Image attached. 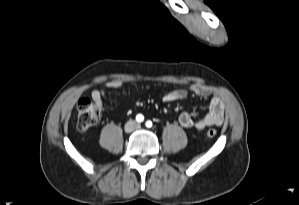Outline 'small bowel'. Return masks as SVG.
<instances>
[{
  "mask_svg": "<svg viewBox=\"0 0 299 205\" xmlns=\"http://www.w3.org/2000/svg\"><path fill=\"white\" fill-rule=\"evenodd\" d=\"M122 86L120 80H111L104 84L105 89H119ZM190 90L197 96L209 98V107L206 114L195 119L190 113L183 112L179 116V123L185 128L195 127L198 130H203L206 127L213 125H221L224 120V105L220 98L210 93L208 88L200 83L191 85ZM92 100L101 109H105V91L103 89H95L91 93ZM187 97V90L175 89L169 91L163 96L165 102H174L183 100Z\"/></svg>",
  "mask_w": 299,
  "mask_h": 205,
  "instance_id": "small-bowel-1",
  "label": "small bowel"
}]
</instances>
